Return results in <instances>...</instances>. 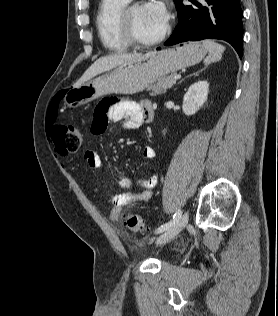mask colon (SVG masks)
Returning a JSON list of instances; mask_svg holds the SVG:
<instances>
[{
    "label": "colon",
    "instance_id": "5ec220e1",
    "mask_svg": "<svg viewBox=\"0 0 278 316\" xmlns=\"http://www.w3.org/2000/svg\"><path fill=\"white\" fill-rule=\"evenodd\" d=\"M49 136L54 144L55 150L60 155H68L78 151L83 142L82 130L74 125H55L51 127ZM125 224L133 232H143L145 223L137 213H127Z\"/></svg>",
    "mask_w": 278,
    "mask_h": 316
}]
</instances>
